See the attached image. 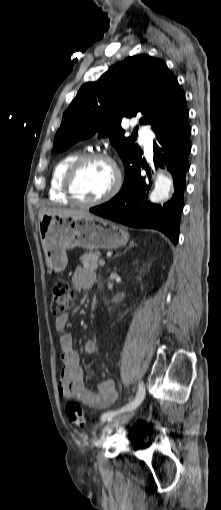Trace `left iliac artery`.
Segmentation results:
<instances>
[{"instance_id": "1", "label": "left iliac artery", "mask_w": 221, "mask_h": 510, "mask_svg": "<svg viewBox=\"0 0 221 510\" xmlns=\"http://www.w3.org/2000/svg\"><path fill=\"white\" fill-rule=\"evenodd\" d=\"M144 397H145V389H143L140 392L137 391L136 397H135V399L133 401H131L130 403L124 405L119 410L108 411V412L104 413L101 416V420L102 421L111 420L113 417H115L118 414H121V413H124V412L133 411L134 409H136L142 403Z\"/></svg>"}]
</instances>
